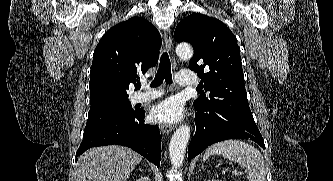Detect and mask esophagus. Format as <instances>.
<instances>
[{
	"label": "esophagus",
	"instance_id": "obj_1",
	"mask_svg": "<svg viewBox=\"0 0 333 181\" xmlns=\"http://www.w3.org/2000/svg\"><path fill=\"white\" fill-rule=\"evenodd\" d=\"M164 40H165L166 48L170 52L172 66L175 69L177 66V63H176L175 57L172 53V35H171V31L169 29L165 30V32H164ZM159 128L162 133L169 134L174 130V125L162 123L159 125Z\"/></svg>",
	"mask_w": 333,
	"mask_h": 181
}]
</instances>
